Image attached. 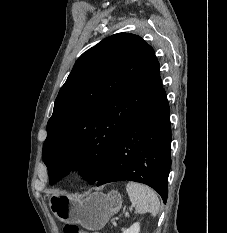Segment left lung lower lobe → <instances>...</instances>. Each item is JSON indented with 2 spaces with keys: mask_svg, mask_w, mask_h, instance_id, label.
<instances>
[{
  "mask_svg": "<svg viewBox=\"0 0 227 233\" xmlns=\"http://www.w3.org/2000/svg\"><path fill=\"white\" fill-rule=\"evenodd\" d=\"M170 108L165 90L144 107L118 138L97 186L136 181L156 190L167 201L171 167Z\"/></svg>",
  "mask_w": 227,
  "mask_h": 233,
  "instance_id": "left-lung-lower-lobe-1",
  "label": "left lung lower lobe"
}]
</instances>
